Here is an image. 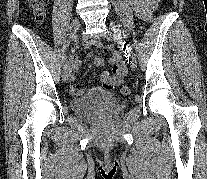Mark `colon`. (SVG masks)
<instances>
[{"instance_id":"colon-1","label":"colon","mask_w":207,"mask_h":179,"mask_svg":"<svg viewBox=\"0 0 207 179\" xmlns=\"http://www.w3.org/2000/svg\"><path fill=\"white\" fill-rule=\"evenodd\" d=\"M48 0H29L30 7L35 21L42 23L46 16V7ZM123 95H128L131 93V88L129 86H123L120 89Z\"/></svg>"}]
</instances>
